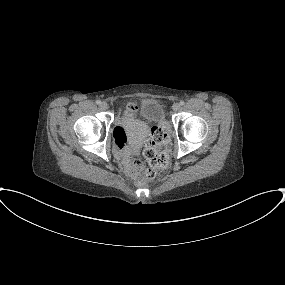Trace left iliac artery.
I'll return each instance as SVG.
<instances>
[{
	"label": "left iliac artery",
	"mask_w": 285,
	"mask_h": 285,
	"mask_svg": "<svg viewBox=\"0 0 285 285\" xmlns=\"http://www.w3.org/2000/svg\"><path fill=\"white\" fill-rule=\"evenodd\" d=\"M185 104V102L184 101H180V105H184Z\"/></svg>",
	"instance_id": "1"
}]
</instances>
